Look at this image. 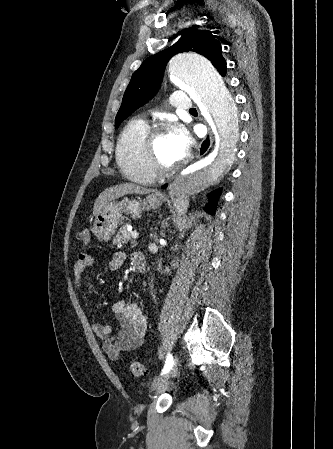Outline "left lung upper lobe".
Here are the masks:
<instances>
[{
  "label": "left lung upper lobe",
  "instance_id": "left-lung-upper-lobe-1",
  "mask_svg": "<svg viewBox=\"0 0 333 449\" xmlns=\"http://www.w3.org/2000/svg\"><path fill=\"white\" fill-rule=\"evenodd\" d=\"M213 31L187 29L171 47L150 56L137 69L124 93L115 118V127L159 90L166 64L177 53L193 51L209 59L221 75H226V61L221 44Z\"/></svg>",
  "mask_w": 333,
  "mask_h": 449
}]
</instances>
